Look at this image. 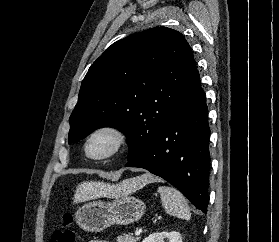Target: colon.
I'll return each instance as SVG.
<instances>
[{"label":"colon","instance_id":"colon-1","mask_svg":"<svg viewBox=\"0 0 279 242\" xmlns=\"http://www.w3.org/2000/svg\"><path fill=\"white\" fill-rule=\"evenodd\" d=\"M73 221L71 213L66 212L62 216V228L56 229L49 242H75V233L69 228Z\"/></svg>","mask_w":279,"mask_h":242}]
</instances>
